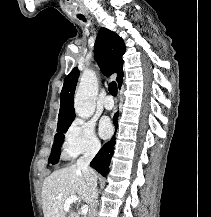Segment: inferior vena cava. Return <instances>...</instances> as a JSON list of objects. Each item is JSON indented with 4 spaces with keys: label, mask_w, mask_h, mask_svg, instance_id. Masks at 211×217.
I'll return each instance as SVG.
<instances>
[{
    "label": "inferior vena cava",
    "mask_w": 211,
    "mask_h": 217,
    "mask_svg": "<svg viewBox=\"0 0 211 217\" xmlns=\"http://www.w3.org/2000/svg\"><path fill=\"white\" fill-rule=\"evenodd\" d=\"M100 149V145H93L90 149H88L82 157L77 160V166L82 170L86 177L89 194H90V210L88 217H96V208H97V180L94 171L89 167V164L93 157L96 155L98 150Z\"/></svg>",
    "instance_id": "obj_1"
}]
</instances>
